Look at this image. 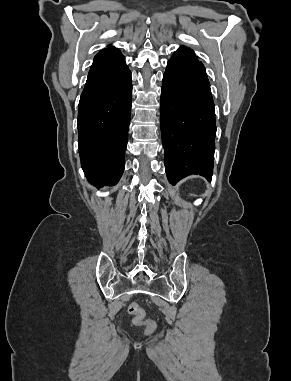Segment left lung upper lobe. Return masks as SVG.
Masks as SVG:
<instances>
[{
    "instance_id": "obj_1",
    "label": "left lung upper lobe",
    "mask_w": 291,
    "mask_h": 381,
    "mask_svg": "<svg viewBox=\"0 0 291 381\" xmlns=\"http://www.w3.org/2000/svg\"><path fill=\"white\" fill-rule=\"evenodd\" d=\"M182 48H185V49H188V50L192 51L191 49H189V48H187V47H184V46H183ZM192 52H193V51H192Z\"/></svg>"
}]
</instances>
